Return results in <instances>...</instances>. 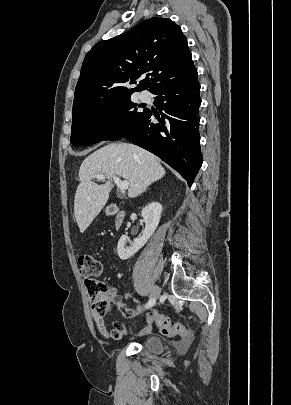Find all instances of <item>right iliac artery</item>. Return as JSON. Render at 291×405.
<instances>
[{
    "mask_svg": "<svg viewBox=\"0 0 291 405\" xmlns=\"http://www.w3.org/2000/svg\"><path fill=\"white\" fill-rule=\"evenodd\" d=\"M155 304V300L153 298H151L147 304L145 305V308H150Z\"/></svg>",
    "mask_w": 291,
    "mask_h": 405,
    "instance_id": "obj_1",
    "label": "right iliac artery"
}]
</instances>
